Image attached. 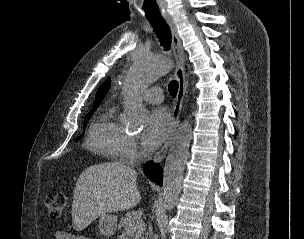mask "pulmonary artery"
<instances>
[{
  "mask_svg": "<svg viewBox=\"0 0 304 239\" xmlns=\"http://www.w3.org/2000/svg\"><path fill=\"white\" fill-rule=\"evenodd\" d=\"M144 101L151 104H159L163 101V91L159 87L148 88L141 94Z\"/></svg>",
  "mask_w": 304,
  "mask_h": 239,
  "instance_id": "pulmonary-artery-1",
  "label": "pulmonary artery"
}]
</instances>
